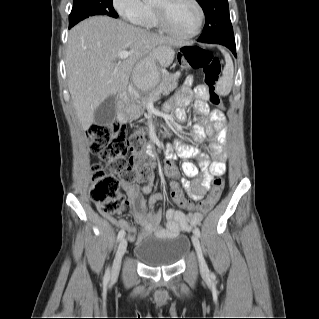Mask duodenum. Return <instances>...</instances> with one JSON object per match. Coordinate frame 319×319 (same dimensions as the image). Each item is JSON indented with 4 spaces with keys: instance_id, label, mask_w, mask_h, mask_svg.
Instances as JSON below:
<instances>
[{
    "instance_id": "obj_1",
    "label": "duodenum",
    "mask_w": 319,
    "mask_h": 319,
    "mask_svg": "<svg viewBox=\"0 0 319 319\" xmlns=\"http://www.w3.org/2000/svg\"><path fill=\"white\" fill-rule=\"evenodd\" d=\"M130 103V98L127 90L123 91V94L120 100L116 103L115 106V116L118 122L125 123L128 120L126 108Z\"/></svg>"
}]
</instances>
